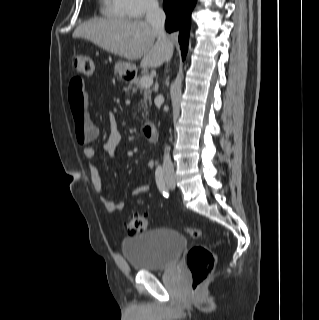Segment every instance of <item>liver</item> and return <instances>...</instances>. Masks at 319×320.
Instances as JSON below:
<instances>
[{
	"instance_id": "liver-1",
	"label": "liver",
	"mask_w": 319,
	"mask_h": 320,
	"mask_svg": "<svg viewBox=\"0 0 319 320\" xmlns=\"http://www.w3.org/2000/svg\"><path fill=\"white\" fill-rule=\"evenodd\" d=\"M72 37L84 38L129 61L142 58L143 67H159L173 53L171 42L159 39L152 26L141 20L92 19L79 25Z\"/></svg>"
}]
</instances>
